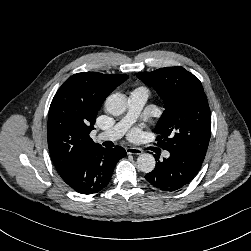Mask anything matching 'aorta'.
<instances>
[{"instance_id": "obj_1", "label": "aorta", "mask_w": 251, "mask_h": 251, "mask_svg": "<svg viewBox=\"0 0 251 251\" xmlns=\"http://www.w3.org/2000/svg\"><path fill=\"white\" fill-rule=\"evenodd\" d=\"M105 108L113 116L123 114L127 108L126 97L118 93L110 95L106 99ZM155 164V158L149 153H142L137 158V168L144 173L153 171Z\"/></svg>"}]
</instances>
